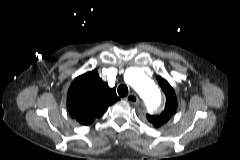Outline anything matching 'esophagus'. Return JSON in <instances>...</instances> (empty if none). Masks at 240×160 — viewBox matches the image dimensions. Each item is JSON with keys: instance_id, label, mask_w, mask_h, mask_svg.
Masks as SVG:
<instances>
[{"instance_id": "34e87169", "label": "esophagus", "mask_w": 240, "mask_h": 160, "mask_svg": "<svg viewBox=\"0 0 240 160\" xmlns=\"http://www.w3.org/2000/svg\"><path fill=\"white\" fill-rule=\"evenodd\" d=\"M126 101L129 102L130 104H134V105L139 103L138 97L133 93L129 94L126 97Z\"/></svg>"}]
</instances>
